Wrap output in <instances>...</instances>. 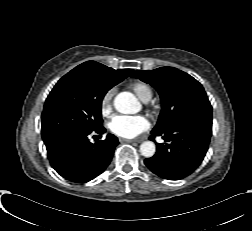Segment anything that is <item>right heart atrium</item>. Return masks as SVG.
Listing matches in <instances>:
<instances>
[{
	"label": "right heart atrium",
	"instance_id": "obj_1",
	"mask_svg": "<svg viewBox=\"0 0 252 231\" xmlns=\"http://www.w3.org/2000/svg\"><path fill=\"white\" fill-rule=\"evenodd\" d=\"M116 91V87H111L103 94L100 102V109L102 114L106 115L111 111Z\"/></svg>",
	"mask_w": 252,
	"mask_h": 231
}]
</instances>
